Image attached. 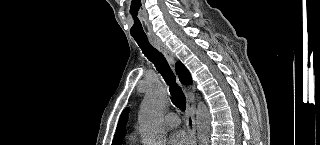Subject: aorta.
Returning <instances> with one entry per match:
<instances>
[{"label":"aorta","mask_w":320,"mask_h":145,"mask_svg":"<svg viewBox=\"0 0 320 145\" xmlns=\"http://www.w3.org/2000/svg\"><path fill=\"white\" fill-rule=\"evenodd\" d=\"M167 106V92L160 83H154L146 94L139 114V130L145 145H164L166 133L160 120ZM197 134L200 145H208L210 116L205 105L196 112Z\"/></svg>","instance_id":"762f6f07"}]
</instances>
